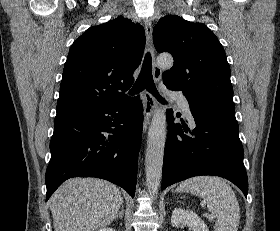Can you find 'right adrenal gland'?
I'll return each mask as SVG.
<instances>
[{"instance_id":"obj_1","label":"right adrenal gland","mask_w":280,"mask_h":231,"mask_svg":"<svg viewBox=\"0 0 280 231\" xmlns=\"http://www.w3.org/2000/svg\"><path fill=\"white\" fill-rule=\"evenodd\" d=\"M123 215H124V205H123V203H121V209H120V211H118V213H116L114 219H117V217H120V219H122ZM114 219H113V221H114Z\"/></svg>"}]
</instances>
